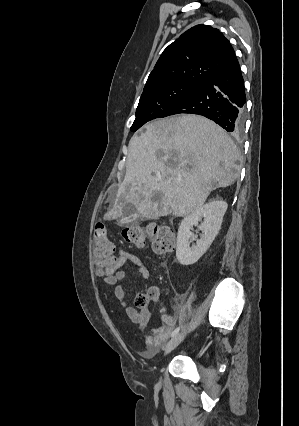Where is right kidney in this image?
I'll use <instances>...</instances> for the list:
<instances>
[{
    "label": "right kidney",
    "instance_id": "ca27d5eb",
    "mask_svg": "<svg viewBox=\"0 0 299 426\" xmlns=\"http://www.w3.org/2000/svg\"><path fill=\"white\" fill-rule=\"evenodd\" d=\"M227 207L228 204L223 200H212L182 220L178 229L176 247V257L180 264L192 265L207 251L221 228ZM202 219L204 221L199 225ZM193 226H198L203 234L196 241V245L190 247L191 240H194L191 232Z\"/></svg>",
    "mask_w": 299,
    "mask_h": 426
}]
</instances>
